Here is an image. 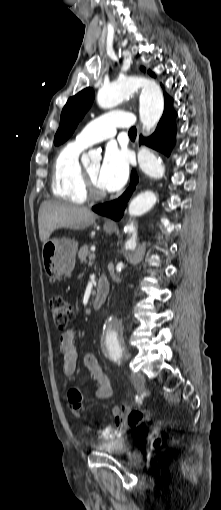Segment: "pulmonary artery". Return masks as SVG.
I'll return each mask as SVG.
<instances>
[{
  "mask_svg": "<svg viewBox=\"0 0 221 510\" xmlns=\"http://www.w3.org/2000/svg\"><path fill=\"white\" fill-rule=\"evenodd\" d=\"M134 116L127 112L114 111L89 122L76 136L75 141L84 147L115 136L118 128L135 126Z\"/></svg>",
  "mask_w": 221,
  "mask_h": 510,
  "instance_id": "1",
  "label": "pulmonary artery"
}]
</instances>
